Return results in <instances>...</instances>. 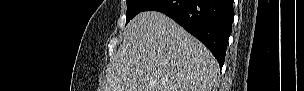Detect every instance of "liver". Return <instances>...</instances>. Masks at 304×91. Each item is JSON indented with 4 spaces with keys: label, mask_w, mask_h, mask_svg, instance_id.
Here are the masks:
<instances>
[{
    "label": "liver",
    "mask_w": 304,
    "mask_h": 91,
    "mask_svg": "<svg viewBox=\"0 0 304 91\" xmlns=\"http://www.w3.org/2000/svg\"><path fill=\"white\" fill-rule=\"evenodd\" d=\"M219 65L213 54L168 16H135L106 69L103 91H211Z\"/></svg>",
    "instance_id": "liver-1"
}]
</instances>
